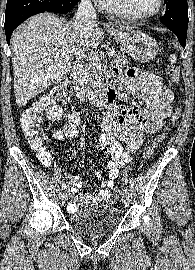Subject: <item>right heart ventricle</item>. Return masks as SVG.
Here are the masks:
<instances>
[{
    "mask_svg": "<svg viewBox=\"0 0 195 270\" xmlns=\"http://www.w3.org/2000/svg\"><path fill=\"white\" fill-rule=\"evenodd\" d=\"M101 9L105 12L127 19H136L122 4L121 0H104Z\"/></svg>",
    "mask_w": 195,
    "mask_h": 270,
    "instance_id": "obj_1",
    "label": "right heart ventricle"
}]
</instances>
